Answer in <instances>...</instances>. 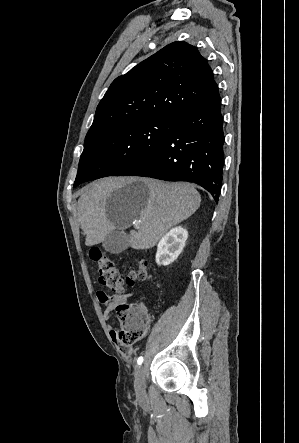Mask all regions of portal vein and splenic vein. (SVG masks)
Masks as SVG:
<instances>
[{"instance_id": "portal-vein-and-splenic-vein-1", "label": "portal vein and splenic vein", "mask_w": 299, "mask_h": 443, "mask_svg": "<svg viewBox=\"0 0 299 443\" xmlns=\"http://www.w3.org/2000/svg\"><path fill=\"white\" fill-rule=\"evenodd\" d=\"M132 224L134 225L135 228H139L140 221L139 220H135V221L132 222Z\"/></svg>"}]
</instances>
